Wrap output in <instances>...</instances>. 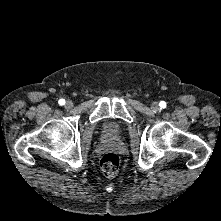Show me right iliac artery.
Here are the masks:
<instances>
[{"label":"right iliac artery","mask_w":221,"mask_h":221,"mask_svg":"<svg viewBox=\"0 0 221 221\" xmlns=\"http://www.w3.org/2000/svg\"><path fill=\"white\" fill-rule=\"evenodd\" d=\"M58 103H59L60 105H64V104H65V100H64V99H60V100L58 101Z\"/></svg>","instance_id":"82829eb1"}]
</instances>
